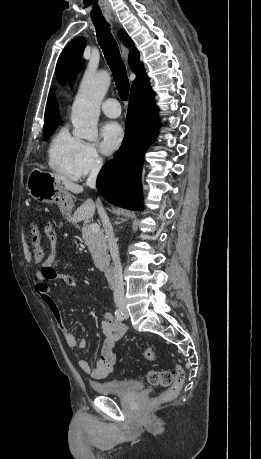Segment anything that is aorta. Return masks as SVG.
Here are the masks:
<instances>
[{
    "label": "aorta",
    "instance_id": "obj_1",
    "mask_svg": "<svg viewBox=\"0 0 261 459\" xmlns=\"http://www.w3.org/2000/svg\"><path fill=\"white\" fill-rule=\"evenodd\" d=\"M110 82V75L106 71L85 74L72 106L71 120L75 136L89 141L97 138L100 105Z\"/></svg>",
    "mask_w": 261,
    "mask_h": 459
}]
</instances>
